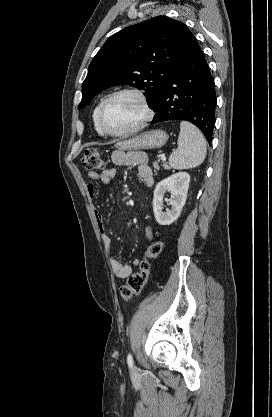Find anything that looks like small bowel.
<instances>
[{"mask_svg":"<svg viewBox=\"0 0 272 417\" xmlns=\"http://www.w3.org/2000/svg\"><path fill=\"white\" fill-rule=\"evenodd\" d=\"M111 160L115 166H130L136 168L138 175L143 179L144 183L147 186H151L153 184V173L148 165V159L145 153L123 152L118 150L112 153ZM116 175L117 170L115 168L104 170L101 173L89 171L87 175V188L90 197L93 199L96 195L95 183L97 181H101L105 184H108L116 177ZM94 216L101 233L104 248L110 255L109 265L112 272L118 278L129 277L132 273V267L128 264L122 263L118 259L111 256L112 238L105 230L102 214L97 209H94ZM146 234L149 239H152L153 235L152 230L150 228L146 230ZM140 262L141 261L139 260H135L134 264L138 266L140 265Z\"/></svg>","mask_w":272,"mask_h":417,"instance_id":"small-bowel-1","label":"small bowel"}]
</instances>
